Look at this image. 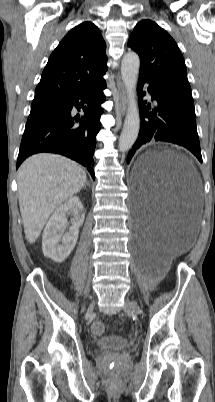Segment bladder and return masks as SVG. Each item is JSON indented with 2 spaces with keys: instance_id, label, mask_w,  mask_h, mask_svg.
Listing matches in <instances>:
<instances>
[{
  "instance_id": "31cf9c89",
  "label": "bladder",
  "mask_w": 215,
  "mask_h": 402,
  "mask_svg": "<svg viewBox=\"0 0 215 402\" xmlns=\"http://www.w3.org/2000/svg\"><path fill=\"white\" fill-rule=\"evenodd\" d=\"M97 346L103 350L121 351L129 346V341L124 337L106 336L98 340Z\"/></svg>"
}]
</instances>
